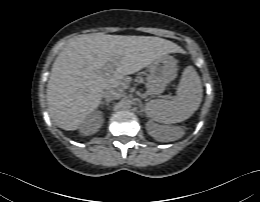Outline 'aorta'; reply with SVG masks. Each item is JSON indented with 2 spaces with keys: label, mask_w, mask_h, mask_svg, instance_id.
Returning a JSON list of instances; mask_svg holds the SVG:
<instances>
[{
  "label": "aorta",
  "mask_w": 260,
  "mask_h": 202,
  "mask_svg": "<svg viewBox=\"0 0 260 202\" xmlns=\"http://www.w3.org/2000/svg\"><path fill=\"white\" fill-rule=\"evenodd\" d=\"M132 106H133V103H132V101L130 99H125V100L122 101L123 109L129 110V109L132 108Z\"/></svg>",
  "instance_id": "aorta-1"
}]
</instances>
